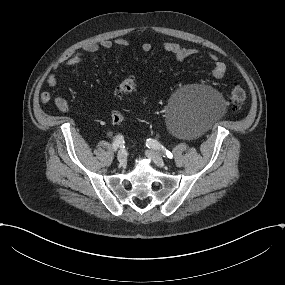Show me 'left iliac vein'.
I'll return each instance as SVG.
<instances>
[{"label":"left iliac vein","mask_w":285,"mask_h":285,"mask_svg":"<svg viewBox=\"0 0 285 285\" xmlns=\"http://www.w3.org/2000/svg\"><path fill=\"white\" fill-rule=\"evenodd\" d=\"M146 155L149 159H151L158 167L164 168L166 167V164L163 160V158L154 151H147Z\"/></svg>","instance_id":"left-iliac-vein-1"}]
</instances>
